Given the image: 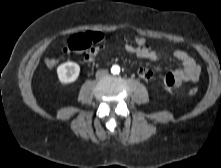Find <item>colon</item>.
Returning <instances> with one entry per match:
<instances>
[{
    "label": "colon",
    "instance_id": "5ec220e1",
    "mask_svg": "<svg viewBox=\"0 0 221 168\" xmlns=\"http://www.w3.org/2000/svg\"><path fill=\"white\" fill-rule=\"evenodd\" d=\"M104 39V35L99 32L79 33L71 36L66 44V49L71 53H88L94 44L100 43ZM133 44L136 47H144L147 44V39L142 36H135ZM45 64L48 68H53L57 64L54 58H47ZM198 92L197 88L193 87L189 90V95L194 96Z\"/></svg>",
    "mask_w": 221,
    "mask_h": 168
}]
</instances>
